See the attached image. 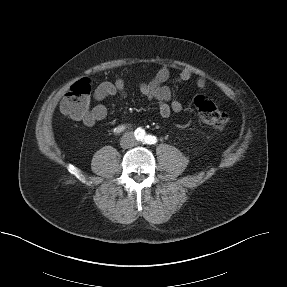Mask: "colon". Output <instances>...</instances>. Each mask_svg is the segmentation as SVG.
<instances>
[{
	"label": "colon",
	"instance_id": "1",
	"mask_svg": "<svg viewBox=\"0 0 287 287\" xmlns=\"http://www.w3.org/2000/svg\"><path fill=\"white\" fill-rule=\"evenodd\" d=\"M91 92V83L88 79L77 81L65 95L61 103V111L75 120H81L90 110ZM193 103L204 123L216 129H223L228 125V115L205 96L197 95Z\"/></svg>",
	"mask_w": 287,
	"mask_h": 287
}]
</instances>
